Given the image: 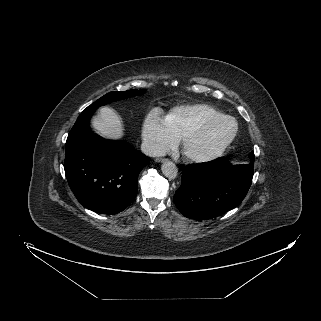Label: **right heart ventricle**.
<instances>
[{"label": "right heart ventricle", "instance_id": "right-heart-ventricle-1", "mask_svg": "<svg viewBox=\"0 0 321 321\" xmlns=\"http://www.w3.org/2000/svg\"><path fill=\"white\" fill-rule=\"evenodd\" d=\"M223 115L216 107L197 103L174 107L163 119L168 131L176 140L202 121Z\"/></svg>", "mask_w": 321, "mask_h": 321}]
</instances>
